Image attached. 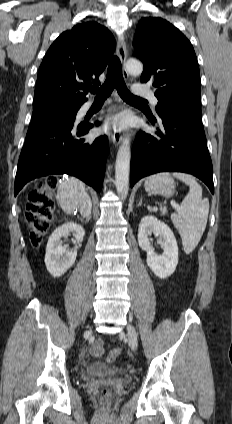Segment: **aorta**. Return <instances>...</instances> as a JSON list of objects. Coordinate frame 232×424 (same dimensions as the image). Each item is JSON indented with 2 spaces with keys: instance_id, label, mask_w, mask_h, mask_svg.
<instances>
[{
  "instance_id": "aorta-1",
  "label": "aorta",
  "mask_w": 232,
  "mask_h": 424,
  "mask_svg": "<svg viewBox=\"0 0 232 424\" xmlns=\"http://www.w3.org/2000/svg\"><path fill=\"white\" fill-rule=\"evenodd\" d=\"M126 70L134 76L141 75L143 64L135 59H129L126 62ZM131 150L130 140L125 138L119 147L115 165V185L118 195L125 199L129 189V170H130Z\"/></svg>"
}]
</instances>
